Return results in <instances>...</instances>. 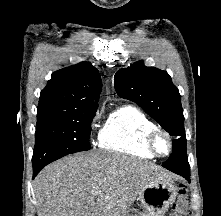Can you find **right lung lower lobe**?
<instances>
[{
    "instance_id": "1",
    "label": "right lung lower lobe",
    "mask_w": 221,
    "mask_h": 216,
    "mask_svg": "<svg viewBox=\"0 0 221 216\" xmlns=\"http://www.w3.org/2000/svg\"><path fill=\"white\" fill-rule=\"evenodd\" d=\"M46 165L33 166V178L39 173V171Z\"/></svg>"
}]
</instances>
